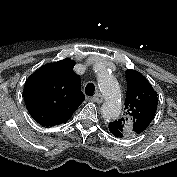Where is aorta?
I'll return each mask as SVG.
<instances>
[{"label":"aorta","mask_w":177,"mask_h":177,"mask_svg":"<svg viewBox=\"0 0 177 177\" xmlns=\"http://www.w3.org/2000/svg\"><path fill=\"white\" fill-rule=\"evenodd\" d=\"M99 88L105 97L101 107V114L107 120H116L121 113V100L119 85L113 75L104 66L97 72Z\"/></svg>","instance_id":"762f6f07"}]
</instances>
